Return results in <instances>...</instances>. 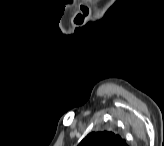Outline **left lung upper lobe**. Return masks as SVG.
<instances>
[{
	"label": "left lung upper lobe",
	"instance_id": "5c2ea615",
	"mask_svg": "<svg viewBox=\"0 0 164 146\" xmlns=\"http://www.w3.org/2000/svg\"><path fill=\"white\" fill-rule=\"evenodd\" d=\"M79 146H127V144L118 134L109 131H99L88 134Z\"/></svg>",
	"mask_w": 164,
	"mask_h": 146
}]
</instances>
